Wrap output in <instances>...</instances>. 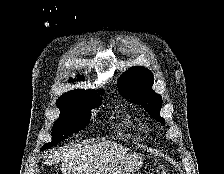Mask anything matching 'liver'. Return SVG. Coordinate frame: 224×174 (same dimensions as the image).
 Segmentation results:
<instances>
[{"label":"liver","instance_id":"liver-1","mask_svg":"<svg viewBox=\"0 0 224 174\" xmlns=\"http://www.w3.org/2000/svg\"><path fill=\"white\" fill-rule=\"evenodd\" d=\"M128 148L111 141L92 145H74L69 149L53 150L45 157L44 164L63 161L62 174H89L127 155Z\"/></svg>","mask_w":224,"mask_h":174}]
</instances>
